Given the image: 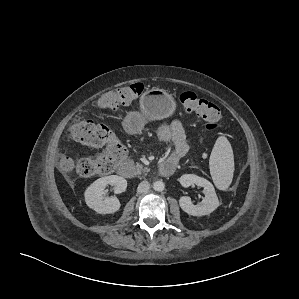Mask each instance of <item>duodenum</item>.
Returning a JSON list of instances; mask_svg holds the SVG:
<instances>
[{"instance_id":"1","label":"duodenum","mask_w":299,"mask_h":299,"mask_svg":"<svg viewBox=\"0 0 299 299\" xmlns=\"http://www.w3.org/2000/svg\"><path fill=\"white\" fill-rule=\"evenodd\" d=\"M175 169H176V163L170 160L163 161L159 166V172L163 176L172 175ZM118 173L123 177H133L134 167L130 162L125 161L119 165Z\"/></svg>"}]
</instances>
